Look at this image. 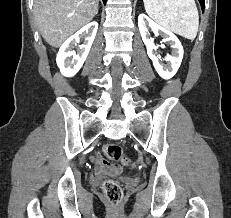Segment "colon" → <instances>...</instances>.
<instances>
[{"mask_svg":"<svg viewBox=\"0 0 231 218\" xmlns=\"http://www.w3.org/2000/svg\"><path fill=\"white\" fill-rule=\"evenodd\" d=\"M103 152L110 160L124 165H131L130 160L124 155L122 148L117 144H106L103 147ZM102 189L105 197L112 205L116 206L121 202L123 198V190L116 181H104Z\"/></svg>","mask_w":231,"mask_h":218,"instance_id":"5ec220e1","label":"colon"}]
</instances>
